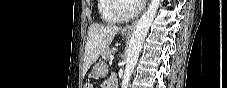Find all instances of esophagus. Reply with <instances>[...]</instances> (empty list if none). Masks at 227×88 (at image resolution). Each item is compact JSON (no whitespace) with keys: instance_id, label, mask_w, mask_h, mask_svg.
<instances>
[{"instance_id":"esophagus-1","label":"esophagus","mask_w":227,"mask_h":88,"mask_svg":"<svg viewBox=\"0 0 227 88\" xmlns=\"http://www.w3.org/2000/svg\"><path fill=\"white\" fill-rule=\"evenodd\" d=\"M134 27H135V22H132L131 24L125 26V27L123 28V30H124V31H127V32H130V31H132V30L134 29Z\"/></svg>"}]
</instances>
